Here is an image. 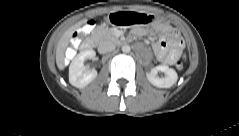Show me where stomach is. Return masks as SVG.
I'll return each instance as SVG.
<instances>
[{"label":"stomach","instance_id":"1","mask_svg":"<svg viewBox=\"0 0 239 136\" xmlns=\"http://www.w3.org/2000/svg\"><path fill=\"white\" fill-rule=\"evenodd\" d=\"M109 22L116 27L133 28L135 25H149L153 22L152 14L114 10L109 13Z\"/></svg>","mask_w":239,"mask_h":136}]
</instances>
